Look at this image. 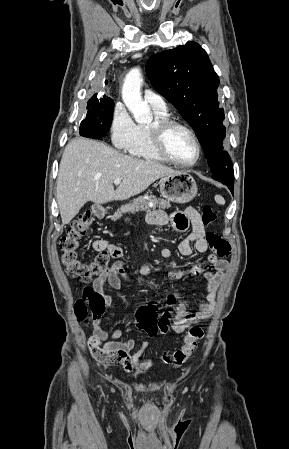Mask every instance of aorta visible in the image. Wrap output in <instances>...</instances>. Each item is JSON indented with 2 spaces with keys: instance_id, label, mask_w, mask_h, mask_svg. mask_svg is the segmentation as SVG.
I'll return each instance as SVG.
<instances>
[{
  "instance_id": "762f6f07",
  "label": "aorta",
  "mask_w": 289,
  "mask_h": 449,
  "mask_svg": "<svg viewBox=\"0 0 289 449\" xmlns=\"http://www.w3.org/2000/svg\"><path fill=\"white\" fill-rule=\"evenodd\" d=\"M143 78L139 68L131 69L125 77L122 88V99L133 114L135 121L139 124H146L152 120L150 108L141 97V85Z\"/></svg>"
}]
</instances>
